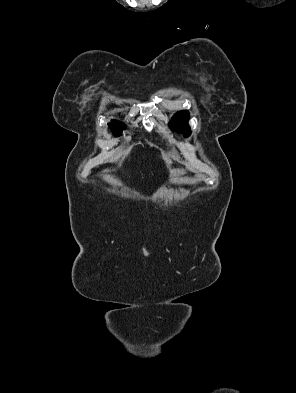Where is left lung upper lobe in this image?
I'll return each instance as SVG.
<instances>
[{
	"instance_id": "5c2ea615",
	"label": "left lung upper lobe",
	"mask_w": 296,
	"mask_h": 393,
	"mask_svg": "<svg viewBox=\"0 0 296 393\" xmlns=\"http://www.w3.org/2000/svg\"><path fill=\"white\" fill-rule=\"evenodd\" d=\"M189 113L187 111H181L174 115L170 122V127L172 130L184 133L185 137L190 135V127L188 126Z\"/></svg>"
}]
</instances>
